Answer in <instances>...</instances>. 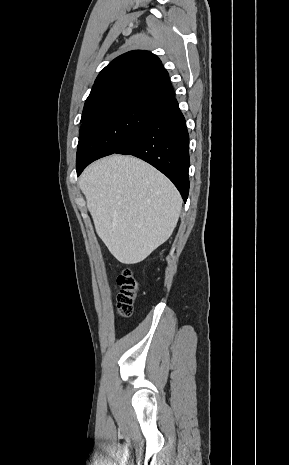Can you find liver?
<instances>
[{"label": "liver", "instance_id": "6515ba94", "mask_svg": "<svg viewBox=\"0 0 289 465\" xmlns=\"http://www.w3.org/2000/svg\"><path fill=\"white\" fill-rule=\"evenodd\" d=\"M79 186L96 233L124 264L144 260L173 233L182 208L175 186L148 163L112 155L89 165Z\"/></svg>", "mask_w": 289, "mask_h": 465}]
</instances>
